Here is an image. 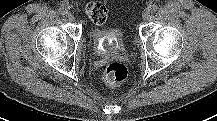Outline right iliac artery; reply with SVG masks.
<instances>
[{"mask_svg":"<svg viewBox=\"0 0 217 121\" xmlns=\"http://www.w3.org/2000/svg\"><path fill=\"white\" fill-rule=\"evenodd\" d=\"M59 13L62 14V15H66V14H68V10L66 8H64V7H61L59 9Z\"/></svg>","mask_w":217,"mask_h":121,"instance_id":"right-iliac-artery-1","label":"right iliac artery"}]
</instances>
